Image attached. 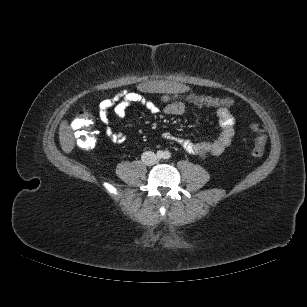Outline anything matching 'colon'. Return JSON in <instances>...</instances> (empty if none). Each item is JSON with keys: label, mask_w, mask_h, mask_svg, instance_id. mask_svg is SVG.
I'll use <instances>...</instances> for the list:
<instances>
[{"label": "colon", "mask_w": 307, "mask_h": 307, "mask_svg": "<svg viewBox=\"0 0 307 307\" xmlns=\"http://www.w3.org/2000/svg\"><path fill=\"white\" fill-rule=\"evenodd\" d=\"M168 102H187L197 107H229L233 100L229 96H212L200 94H188L185 96L168 95ZM78 145L83 150H92L97 144V132L93 129V118L91 113L81 110L71 123ZM251 131L256 135V143L251 154L254 157H261L265 152V126L259 122L250 123Z\"/></svg>", "instance_id": "colon-1"}]
</instances>
